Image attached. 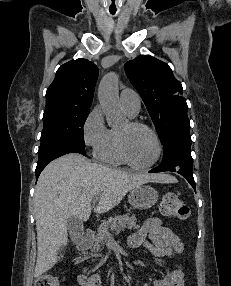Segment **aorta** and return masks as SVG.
I'll return each instance as SVG.
<instances>
[{
	"label": "aorta",
	"instance_id": "762f6f07",
	"mask_svg": "<svg viewBox=\"0 0 231 286\" xmlns=\"http://www.w3.org/2000/svg\"><path fill=\"white\" fill-rule=\"evenodd\" d=\"M98 98L108 125L110 127L120 125L125 120V115L119 104L117 74L109 73L102 78L98 88Z\"/></svg>",
	"mask_w": 231,
	"mask_h": 286
}]
</instances>
